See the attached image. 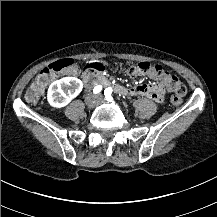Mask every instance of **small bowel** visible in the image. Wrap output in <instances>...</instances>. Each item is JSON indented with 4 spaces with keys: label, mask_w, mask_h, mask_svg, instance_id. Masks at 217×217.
I'll return each instance as SVG.
<instances>
[{
    "label": "small bowel",
    "mask_w": 217,
    "mask_h": 217,
    "mask_svg": "<svg viewBox=\"0 0 217 217\" xmlns=\"http://www.w3.org/2000/svg\"><path fill=\"white\" fill-rule=\"evenodd\" d=\"M76 70L74 69L72 72H66L67 75L75 74ZM133 90V95L138 96H147L152 100L163 102L164 94L160 88L157 87V84H139L131 88Z\"/></svg>",
    "instance_id": "small-bowel-1"
}]
</instances>
